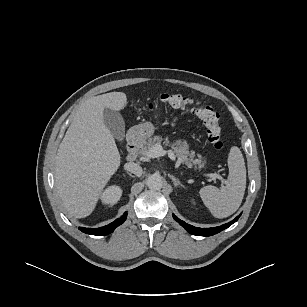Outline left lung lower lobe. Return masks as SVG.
<instances>
[{
  "instance_id": "left-lung-lower-lobe-1",
  "label": "left lung lower lobe",
  "mask_w": 307,
  "mask_h": 307,
  "mask_svg": "<svg viewBox=\"0 0 307 307\" xmlns=\"http://www.w3.org/2000/svg\"><path fill=\"white\" fill-rule=\"evenodd\" d=\"M241 216V214L239 215ZM239 216H237L234 220H232L229 223H226L224 225H221L219 227H214V228H196L194 226H191L189 224H186L184 221H181L179 218H177L175 215H173V218L181 225L183 226L189 233L197 236H212L214 234H217L221 232L222 230L228 228L230 225L235 223Z\"/></svg>"
}]
</instances>
